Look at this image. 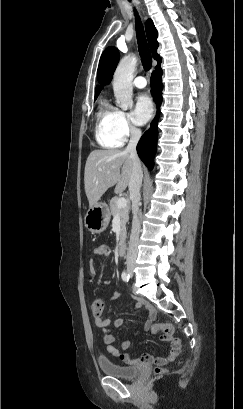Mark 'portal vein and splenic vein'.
<instances>
[{"mask_svg":"<svg viewBox=\"0 0 243 409\" xmlns=\"http://www.w3.org/2000/svg\"><path fill=\"white\" fill-rule=\"evenodd\" d=\"M127 206V200L124 197H121L117 200V208L121 209Z\"/></svg>","mask_w":243,"mask_h":409,"instance_id":"1","label":"portal vein and splenic vein"}]
</instances>
